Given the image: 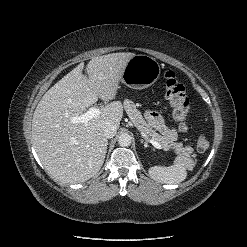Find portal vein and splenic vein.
Instances as JSON below:
<instances>
[{"label": "portal vein and splenic vein", "mask_w": 247, "mask_h": 247, "mask_svg": "<svg viewBox=\"0 0 247 247\" xmlns=\"http://www.w3.org/2000/svg\"><path fill=\"white\" fill-rule=\"evenodd\" d=\"M100 114V110L98 108L95 107H91L89 108V110L87 112H85L84 114L80 115V116H75L71 118V122L72 123H84L87 124L88 121H90L92 118L97 117ZM150 143L160 149L161 145L155 141L154 139H150Z\"/></svg>", "instance_id": "1"}]
</instances>
